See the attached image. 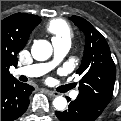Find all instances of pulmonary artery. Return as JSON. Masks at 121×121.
Listing matches in <instances>:
<instances>
[{"label": "pulmonary artery", "instance_id": "pulmonary-artery-1", "mask_svg": "<svg viewBox=\"0 0 121 121\" xmlns=\"http://www.w3.org/2000/svg\"><path fill=\"white\" fill-rule=\"evenodd\" d=\"M53 47L55 51V59L51 63L46 64H33L25 67L18 68L15 70L16 75H24L27 77H38L49 70H51L57 63H59L63 57L68 53L71 47V41L70 40H64V41H57L53 42ZM71 97L76 98L78 96L77 91L71 92Z\"/></svg>", "mask_w": 121, "mask_h": 121}]
</instances>
